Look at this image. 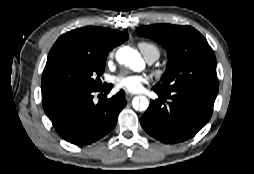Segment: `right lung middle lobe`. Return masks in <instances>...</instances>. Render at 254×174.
Here are the masks:
<instances>
[{"label": "right lung middle lobe", "mask_w": 254, "mask_h": 174, "mask_svg": "<svg viewBox=\"0 0 254 174\" xmlns=\"http://www.w3.org/2000/svg\"><path fill=\"white\" fill-rule=\"evenodd\" d=\"M107 57L70 45L51 49L42 75V98L74 90L97 89Z\"/></svg>", "instance_id": "obj_1"}]
</instances>
